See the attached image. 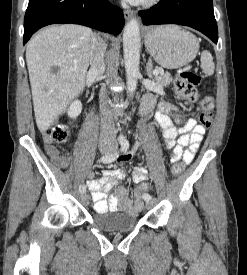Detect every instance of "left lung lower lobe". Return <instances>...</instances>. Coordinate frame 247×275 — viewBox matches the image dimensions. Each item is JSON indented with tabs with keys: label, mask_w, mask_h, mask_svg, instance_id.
Masks as SVG:
<instances>
[{
	"label": "left lung lower lobe",
	"mask_w": 247,
	"mask_h": 275,
	"mask_svg": "<svg viewBox=\"0 0 247 275\" xmlns=\"http://www.w3.org/2000/svg\"><path fill=\"white\" fill-rule=\"evenodd\" d=\"M139 14L145 25L189 26L205 34L214 43L218 41L212 0H160L158 4Z\"/></svg>",
	"instance_id": "0a47b994"
}]
</instances>
